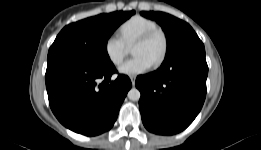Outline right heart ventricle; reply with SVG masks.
<instances>
[{"mask_svg": "<svg viewBox=\"0 0 261 150\" xmlns=\"http://www.w3.org/2000/svg\"><path fill=\"white\" fill-rule=\"evenodd\" d=\"M158 24L147 17L135 15L124 21L118 28L119 37L130 47L136 39L149 30L158 28Z\"/></svg>", "mask_w": 261, "mask_h": 150, "instance_id": "1", "label": "right heart ventricle"}]
</instances>
